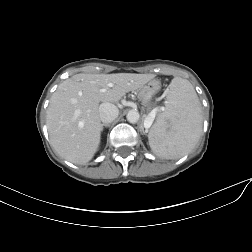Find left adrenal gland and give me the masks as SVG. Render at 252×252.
Here are the masks:
<instances>
[{"mask_svg":"<svg viewBox=\"0 0 252 252\" xmlns=\"http://www.w3.org/2000/svg\"><path fill=\"white\" fill-rule=\"evenodd\" d=\"M143 133L146 134L147 131H144V129H142Z\"/></svg>","mask_w":252,"mask_h":252,"instance_id":"obj_1","label":"left adrenal gland"}]
</instances>
